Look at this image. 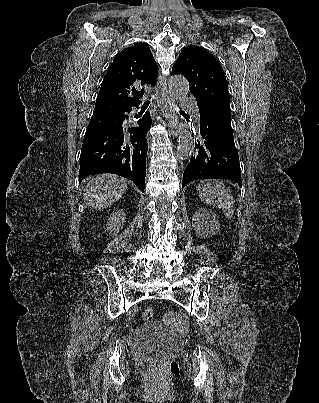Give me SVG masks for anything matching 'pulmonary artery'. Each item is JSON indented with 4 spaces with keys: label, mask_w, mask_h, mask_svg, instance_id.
Instances as JSON below:
<instances>
[{
    "label": "pulmonary artery",
    "mask_w": 319,
    "mask_h": 403,
    "mask_svg": "<svg viewBox=\"0 0 319 403\" xmlns=\"http://www.w3.org/2000/svg\"><path fill=\"white\" fill-rule=\"evenodd\" d=\"M182 105L184 107H192L194 106V102L192 101L191 97L188 95H184L182 97ZM195 121L198 123L200 121V115L197 109H195Z\"/></svg>",
    "instance_id": "obj_1"
}]
</instances>
